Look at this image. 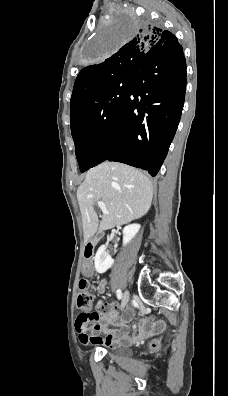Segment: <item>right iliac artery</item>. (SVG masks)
<instances>
[{
  "mask_svg": "<svg viewBox=\"0 0 228 396\" xmlns=\"http://www.w3.org/2000/svg\"><path fill=\"white\" fill-rule=\"evenodd\" d=\"M117 298L121 299L122 298V292L121 290H117Z\"/></svg>",
  "mask_w": 228,
  "mask_h": 396,
  "instance_id": "1",
  "label": "right iliac artery"
}]
</instances>
